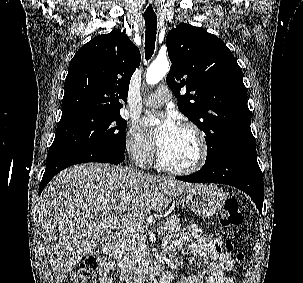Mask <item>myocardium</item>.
Here are the masks:
<instances>
[{
  "instance_id": "obj_1",
  "label": "myocardium",
  "mask_w": 303,
  "mask_h": 283,
  "mask_svg": "<svg viewBox=\"0 0 303 283\" xmlns=\"http://www.w3.org/2000/svg\"><path fill=\"white\" fill-rule=\"evenodd\" d=\"M180 128L189 130L194 134L199 147L197 160L191 166L188 167L180 168L171 166L166 163L161 150H159L157 152V164L162 170L168 173L175 175H190L198 172L205 165L208 158V143L203 131L196 124L192 122H183L180 125Z\"/></svg>"
}]
</instances>
